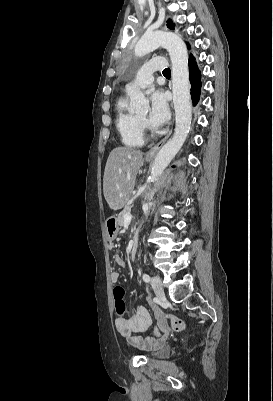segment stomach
<instances>
[{"mask_svg": "<svg viewBox=\"0 0 273 401\" xmlns=\"http://www.w3.org/2000/svg\"><path fill=\"white\" fill-rule=\"evenodd\" d=\"M145 160H152L149 156H145ZM105 231L108 241H114L119 233V227L116 217H108L105 221Z\"/></svg>", "mask_w": 273, "mask_h": 401, "instance_id": "stomach-1", "label": "stomach"}]
</instances>
